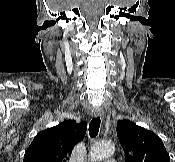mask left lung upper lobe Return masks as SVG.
Returning <instances> with one entry per match:
<instances>
[{
  "label": "left lung upper lobe",
  "instance_id": "obj_1",
  "mask_svg": "<svg viewBox=\"0 0 175 162\" xmlns=\"http://www.w3.org/2000/svg\"><path fill=\"white\" fill-rule=\"evenodd\" d=\"M116 130L126 162H170L162 140L154 132L129 120L118 121Z\"/></svg>",
  "mask_w": 175,
  "mask_h": 162
}]
</instances>
